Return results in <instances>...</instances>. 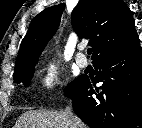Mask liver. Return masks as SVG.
<instances>
[{"instance_id":"obj_1","label":"liver","mask_w":142,"mask_h":128,"mask_svg":"<svg viewBox=\"0 0 142 128\" xmlns=\"http://www.w3.org/2000/svg\"><path fill=\"white\" fill-rule=\"evenodd\" d=\"M14 128H87L77 117L69 118L64 111L31 110L23 113Z\"/></svg>"}]
</instances>
